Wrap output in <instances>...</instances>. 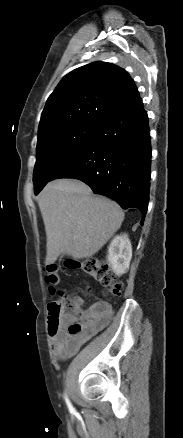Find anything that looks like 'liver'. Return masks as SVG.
<instances>
[{"label": "liver", "mask_w": 183, "mask_h": 438, "mask_svg": "<svg viewBox=\"0 0 183 438\" xmlns=\"http://www.w3.org/2000/svg\"><path fill=\"white\" fill-rule=\"evenodd\" d=\"M38 205L47 237L46 265L53 264L61 254L75 260L93 256L124 220L116 202L95 197L88 185L76 179L48 183Z\"/></svg>", "instance_id": "6515ba94"}]
</instances>
